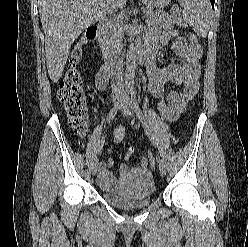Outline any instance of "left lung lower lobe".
<instances>
[{"label":"left lung lower lobe","mask_w":248,"mask_h":247,"mask_svg":"<svg viewBox=\"0 0 248 247\" xmlns=\"http://www.w3.org/2000/svg\"><path fill=\"white\" fill-rule=\"evenodd\" d=\"M210 1H211L212 6L214 7L215 0H210Z\"/></svg>","instance_id":"1"}]
</instances>
